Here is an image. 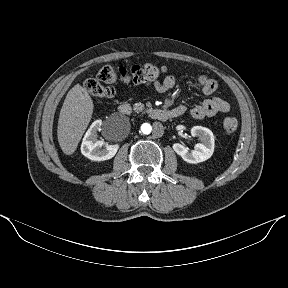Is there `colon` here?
I'll list each match as a JSON object with an SVG mask.
<instances>
[{
  "label": "colon",
  "mask_w": 288,
  "mask_h": 288,
  "mask_svg": "<svg viewBox=\"0 0 288 288\" xmlns=\"http://www.w3.org/2000/svg\"><path fill=\"white\" fill-rule=\"evenodd\" d=\"M165 72L163 66H157L152 63L136 65L131 68L121 67L117 70L112 67L105 66L98 71L97 79H87L84 82L86 91L99 98L110 99L115 95V89L106 84L116 82L142 84L152 82L159 78ZM238 128V121L235 117H226L223 120V129L226 134H233Z\"/></svg>",
  "instance_id": "obj_1"
}]
</instances>
